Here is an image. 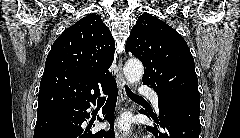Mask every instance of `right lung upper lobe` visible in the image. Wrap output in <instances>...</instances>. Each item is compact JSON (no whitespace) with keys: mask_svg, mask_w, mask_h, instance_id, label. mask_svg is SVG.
<instances>
[{"mask_svg":"<svg viewBox=\"0 0 240 138\" xmlns=\"http://www.w3.org/2000/svg\"><path fill=\"white\" fill-rule=\"evenodd\" d=\"M115 42L101 17L90 14L54 42L40 82L37 114L97 97L114 80L108 71Z\"/></svg>","mask_w":240,"mask_h":138,"instance_id":"1","label":"right lung upper lobe"}]
</instances>
